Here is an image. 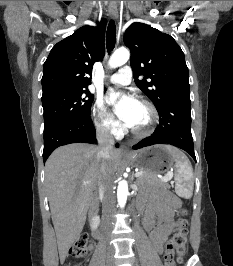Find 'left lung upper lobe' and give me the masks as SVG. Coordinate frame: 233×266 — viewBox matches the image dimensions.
<instances>
[{
    "instance_id": "obj_1",
    "label": "left lung upper lobe",
    "mask_w": 233,
    "mask_h": 266,
    "mask_svg": "<svg viewBox=\"0 0 233 266\" xmlns=\"http://www.w3.org/2000/svg\"><path fill=\"white\" fill-rule=\"evenodd\" d=\"M124 43L131 51L135 83L157 109L170 99L190 95L184 53L170 35L134 22L125 31ZM140 75L145 77L138 80Z\"/></svg>"
}]
</instances>
